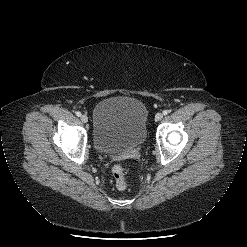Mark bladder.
<instances>
[{
  "label": "bladder",
  "instance_id": "obj_1",
  "mask_svg": "<svg viewBox=\"0 0 247 247\" xmlns=\"http://www.w3.org/2000/svg\"><path fill=\"white\" fill-rule=\"evenodd\" d=\"M148 111L139 99L115 96L101 100L93 111L92 141L102 154L126 156L147 138Z\"/></svg>",
  "mask_w": 247,
  "mask_h": 247
}]
</instances>
